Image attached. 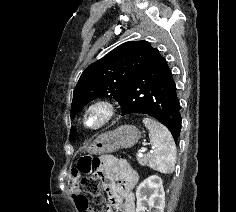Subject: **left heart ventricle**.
I'll use <instances>...</instances> for the list:
<instances>
[{"label": "left heart ventricle", "mask_w": 236, "mask_h": 212, "mask_svg": "<svg viewBox=\"0 0 236 212\" xmlns=\"http://www.w3.org/2000/svg\"><path fill=\"white\" fill-rule=\"evenodd\" d=\"M101 117L102 114L99 111H95L89 116L88 122L91 125L97 124L101 120Z\"/></svg>", "instance_id": "b2bd125f"}]
</instances>
